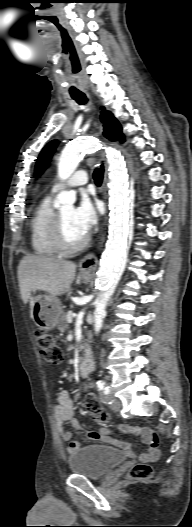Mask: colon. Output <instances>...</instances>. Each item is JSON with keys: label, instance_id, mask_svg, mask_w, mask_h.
<instances>
[{"label": "colon", "instance_id": "1", "mask_svg": "<svg viewBox=\"0 0 192 527\" xmlns=\"http://www.w3.org/2000/svg\"><path fill=\"white\" fill-rule=\"evenodd\" d=\"M34 336L42 357L50 364L60 365L63 361V352L56 339L44 329H36L34 331ZM85 405L91 420L100 424L107 422L108 414L94 394L89 393L86 395ZM121 428L122 426L119 427V429ZM91 433H89V436ZM147 438H149L151 448L155 449L159 443L157 434L151 432ZM152 475L153 469L147 464H137L130 471V476L134 479H148L151 478Z\"/></svg>", "mask_w": 192, "mask_h": 527}]
</instances>
